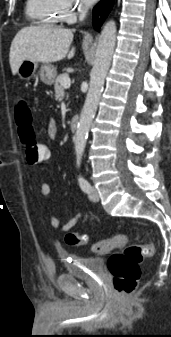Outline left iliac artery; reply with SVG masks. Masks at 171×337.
<instances>
[{"instance_id": "obj_1", "label": "left iliac artery", "mask_w": 171, "mask_h": 337, "mask_svg": "<svg viewBox=\"0 0 171 337\" xmlns=\"http://www.w3.org/2000/svg\"><path fill=\"white\" fill-rule=\"evenodd\" d=\"M80 164H81V157H78L77 158L78 167H80ZM78 181H79V185H80L81 189L84 192L89 193L90 190H91V186H90L89 182L82 176H79Z\"/></svg>"}]
</instances>
